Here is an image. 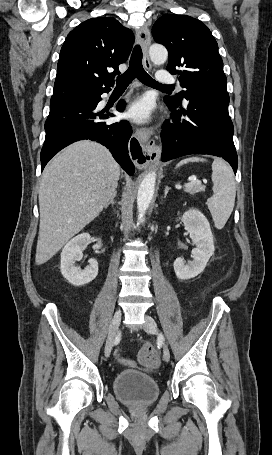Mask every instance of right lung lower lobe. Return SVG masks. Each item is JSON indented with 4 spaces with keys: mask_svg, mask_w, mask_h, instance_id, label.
Wrapping results in <instances>:
<instances>
[{
    "mask_svg": "<svg viewBox=\"0 0 272 455\" xmlns=\"http://www.w3.org/2000/svg\"><path fill=\"white\" fill-rule=\"evenodd\" d=\"M101 94L93 96L82 105L68 104L50 110L45 122L46 137L40 156L42 170L47 162L64 147L75 141L90 139L106 146L129 175L134 173V164L128 154L132 128L124 120L113 124H107L104 121L114 115L105 111H96L97 104L101 101ZM124 107L125 103L120 101L116 109L122 112Z\"/></svg>",
    "mask_w": 272,
    "mask_h": 455,
    "instance_id": "98d812e1",
    "label": "right lung lower lobe"
}]
</instances>
